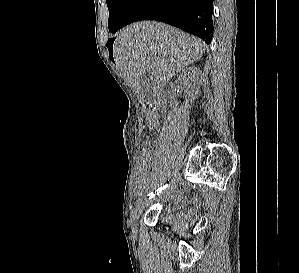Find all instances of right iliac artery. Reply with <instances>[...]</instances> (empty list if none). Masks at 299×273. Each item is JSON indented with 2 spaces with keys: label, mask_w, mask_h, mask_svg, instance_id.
I'll return each instance as SVG.
<instances>
[{
  "label": "right iliac artery",
  "mask_w": 299,
  "mask_h": 273,
  "mask_svg": "<svg viewBox=\"0 0 299 273\" xmlns=\"http://www.w3.org/2000/svg\"><path fill=\"white\" fill-rule=\"evenodd\" d=\"M168 181H169V180H168ZM166 187H168V184H165L163 187H159V188L157 189V191H155L154 193L151 192V193H149L147 196H149V198H152V197L155 196L156 192H157V194H159V192H161V190H162V189H165ZM144 199H146L145 196L139 198V199L137 200V205L140 204Z\"/></svg>",
  "instance_id": "1"
}]
</instances>
